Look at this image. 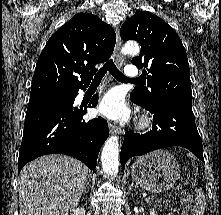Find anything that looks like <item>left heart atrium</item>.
I'll return each instance as SVG.
<instances>
[{
	"mask_svg": "<svg viewBox=\"0 0 221 215\" xmlns=\"http://www.w3.org/2000/svg\"><path fill=\"white\" fill-rule=\"evenodd\" d=\"M97 112L111 120H123L129 115L124 96L117 89L107 92L101 98Z\"/></svg>",
	"mask_w": 221,
	"mask_h": 215,
	"instance_id": "1",
	"label": "left heart atrium"
}]
</instances>
